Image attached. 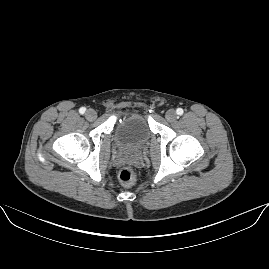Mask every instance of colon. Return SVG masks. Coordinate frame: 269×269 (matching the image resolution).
I'll use <instances>...</instances> for the list:
<instances>
[{
  "label": "colon",
  "instance_id": "obj_1",
  "mask_svg": "<svg viewBox=\"0 0 269 269\" xmlns=\"http://www.w3.org/2000/svg\"><path fill=\"white\" fill-rule=\"evenodd\" d=\"M119 180L123 185H133L136 181L135 170L129 165L123 166L119 171Z\"/></svg>",
  "mask_w": 269,
  "mask_h": 269
}]
</instances>
